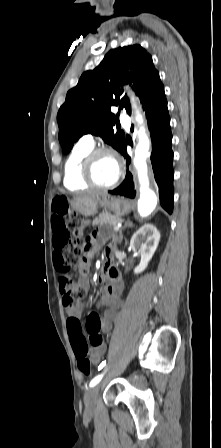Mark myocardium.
Instances as JSON below:
<instances>
[{
  "mask_svg": "<svg viewBox=\"0 0 221 448\" xmlns=\"http://www.w3.org/2000/svg\"><path fill=\"white\" fill-rule=\"evenodd\" d=\"M101 155L112 156L118 165V173H117L116 178L114 179L113 182H111L110 184H106V185L99 184L96 181L94 174H93L95 161ZM123 175H124L123 164H122L118 154L110 148L101 147V148L92 149L85 155V157L83 158L82 163H81L82 180L86 184H88L89 186L94 187V188L104 189V190L112 189L120 183V181L123 178Z\"/></svg>",
  "mask_w": 221,
  "mask_h": 448,
  "instance_id": "myocardium-1",
  "label": "myocardium"
}]
</instances>
